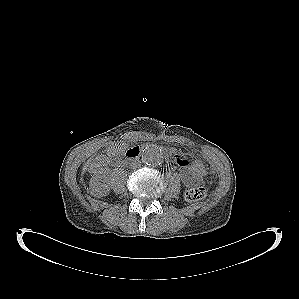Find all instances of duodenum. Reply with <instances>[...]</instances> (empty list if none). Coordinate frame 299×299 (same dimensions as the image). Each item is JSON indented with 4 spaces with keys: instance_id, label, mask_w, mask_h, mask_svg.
<instances>
[{
    "instance_id": "duodenum-1",
    "label": "duodenum",
    "mask_w": 299,
    "mask_h": 299,
    "mask_svg": "<svg viewBox=\"0 0 299 299\" xmlns=\"http://www.w3.org/2000/svg\"><path fill=\"white\" fill-rule=\"evenodd\" d=\"M140 154L141 148L139 146H134L125 152V154L120 158L119 164L124 165L132 160H135L140 156Z\"/></svg>"
}]
</instances>
